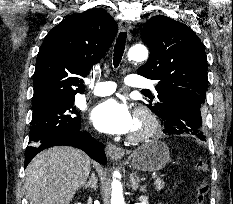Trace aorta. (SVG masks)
I'll return each mask as SVG.
<instances>
[{
	"label": "aorta",
	"instance_id": "aorta-1",
	"mask_svg": "<svg viewBox=\"0 0 233 204\" xmlns=\"http://www.w3.org/2000/svg\"><path fill=\"white\" fill-rule=\"evenodd\" d=\"M127 57L130 61H145L148 58V50L144 45L136 44L129 49ZM119 176L120 173L118 171L113 173L111 204H125L122 194V184L117 180Z\"/></svg>",
	"mask_w": 233,
	"mask_h": 204
}]
</instances>
